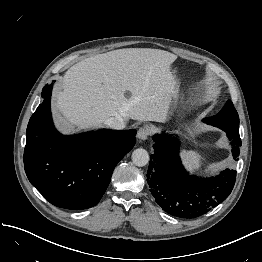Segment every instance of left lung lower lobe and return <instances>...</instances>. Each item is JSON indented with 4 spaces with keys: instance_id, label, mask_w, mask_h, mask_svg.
Segmentation results:
<instances>
[{
    "instance_id": "1",
    "label": "left lung lower lobe",
    "mask_w": 262,
    "mask_h": 262,
    "mask_svg": "<svg viewBox=\"0 0 262 262\" xmlns=\"http://www.w3.org/2000/svg\"><path fill=\"white\" fill-rule=\"evenodd\" d=\"M233 140L232 156L237 160L241 139L239 130L220 128ZM147 181L152 196L167 213L181 218H196L224 201L231 193L236 171L225 169L218 175L201 177L189 174L179 156L178 139L166 134L153 137Z\"/></svg>"
}]
</instances>
